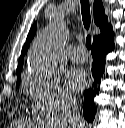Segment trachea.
<instances>
[{"mask_svg": "<svg viewBox=\"0 0 125 128\" xmlns=\"http://www.w3.org/2000/svg\"><path fill=\"white\" fill-rule=\"evenodd\" d=\"M81 2V12H82V20L86 30H89L91 23L90 16V4L89 0H80ZM86 47L87 49H91V36L88 35L86 38Z\"/></svg>", "mask_w": 125, "mask_h": 128, "instance_id": "trachea-1", "label": "trachea"}]
</instances>
